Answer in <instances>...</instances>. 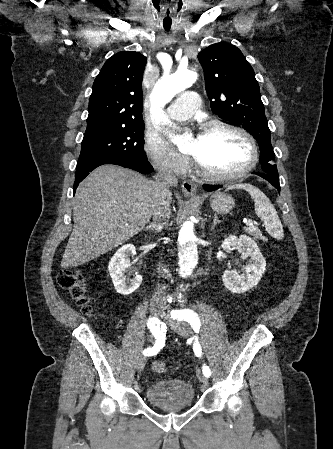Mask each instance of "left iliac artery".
Segmentation results:
<instances>
[{
    "label": "left iliac artery",
    "mask_w": 333,
    "mask_h": 449,
    "mask_svg": "<svg viewBox=\"0 0 333 449\" xmlns=\"http://www.w3.org/2000/svg\"><path fill=\"white\" fill-rule=\"evenodd\" d=\"M171 316L173 319L179 320V321H187L192 326L193 330L196 333H199L200 330V320L196 312L190 309H183V310H173L171 312ZM194 353L197 357H201L202 350L201 346L199 344L198 338L196 337L194 346H193ZM202 372L206 377H209L211 375V370L209 366L203 365Z\"/></svg>",
    "instance_id": "1"
}]
</instances>
